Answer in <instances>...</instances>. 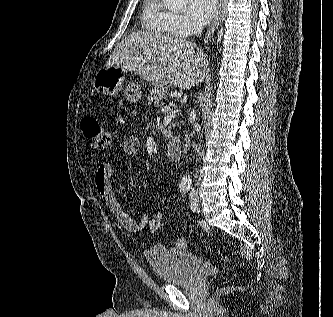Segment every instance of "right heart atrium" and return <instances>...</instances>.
<instances>
[{
	"instance_id": "1",
	"label": "right heart atrium",
	"mask_w": 333,
	"mask_h": 317,
	"mask_svg": "<svg viewBox=\"0 0 333 317\" xmlns=\"http://www.w3.org/2000/svg\"><path fill=\"white\" fill-rule=\"evenodd\" d=\"M173 29L177 35H187L194 31V26L191 22L183 15H174Z\"/></svg>"
}]
</instances>
